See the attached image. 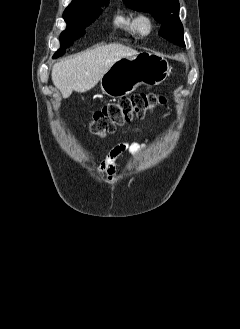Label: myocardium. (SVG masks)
I'll return each instance as SVG.
<instances>
[{
    "label": "myocardium",
    "instance_id": "obj_1",
    "mask_svg": "<svg viewBox=\"0 0 240 329\" xmlns=\"http://www.w3.org/2000/svg\"><path fill=\"white\" fill-rule=\"evenodd\" d=\"M154 29V21L152 17L146 13H139L135 17V31L141 36H148Z\"/></svg>",
    "mask_w": 240,
    "mask_h": 329
}]
</instances>
